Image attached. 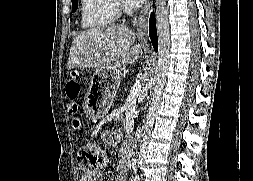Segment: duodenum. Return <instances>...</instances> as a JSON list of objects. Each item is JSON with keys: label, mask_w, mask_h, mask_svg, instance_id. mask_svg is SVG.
<instances>
[{"label": "duodenum", "mask_w": 253, "mask_h": 181, "mask_svg": "<svg viewBox=\"0 0 253 181\" xmlns=\"http://www.w3.org/2000/svg\"><path fill=\"white\" fill-rule=\"evenodd\" d=\"M143 135V129L137 131V136L141 137Z\"/></svg>", "instance_id": "410a0bca"}]
</instances>
